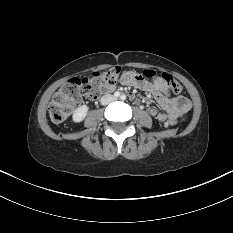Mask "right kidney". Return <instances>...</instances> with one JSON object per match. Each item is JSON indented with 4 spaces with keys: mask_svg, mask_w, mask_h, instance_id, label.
Segmentation results:
<instances>
[{
    "mask_svg": "<svg viewBox=\"0 0 233 233\" xmlns=\"http://www.w3.org/2000/svg\"><path fill=\"white\" fill-rule=\"evenodd\" d=\"M88 107L86 105H82L76 108L73 112L72 119L75 123H79L83 121L87 115Z\"/></svg>",
    "mask_w": 233,
    "mask_h": 233,
    "instance_id": "1",
    "label": "right kidney"
}]
</instances>
